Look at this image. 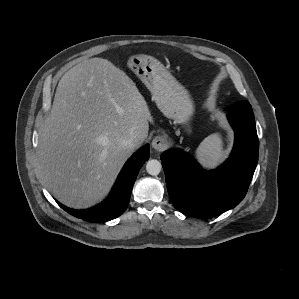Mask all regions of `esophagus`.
I'll return each mask as SVG.
<instances>
[{"instance_id":"1","label":"esophagus","mask_w":299,"mask_h":299,"mask_svg":"<svg viewBox=\"0 0 299 299\" xmlns=\"http://www.w3.org/2000/svg\"><path fill=\"white\" fill-rule=\"evenodd\" d=\"M167 145V139L164 136L158 135L155 136L154 139L152 140V147L155 150H162L166 147Z\"/></svg>"}]
</instances>
